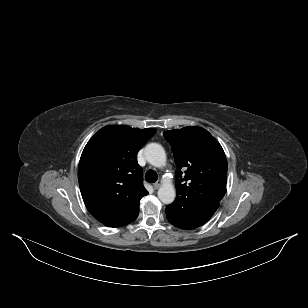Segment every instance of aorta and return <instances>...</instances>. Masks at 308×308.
I'll use <instances>...</instances> for the list:
<instances>
[{"mask_svg":"<svg viewBox=\"0 0 308 308\" xmlns=\"http://www.w3.org/2000/svg\"><path fill=\"white\" fill-rule=\"evenodd\" d=\"M145 157L155 167H162L166 162L165 150L157 143H150L145 147ZM175 197V187L171 183H164L158 190V198L164 204H171Z\"/></svg>","mask_w":308,"mask_h":308,"instance_id":"762f6f07","label":"aorta"}]
</instances>
